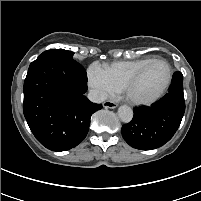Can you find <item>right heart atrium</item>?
Listing matches in <instances>:
<instances>
[{"mask_svg": "<svg viewBox=\"0 0 201 201\" xmlns=\"http://www.w3.org/2000/svg\"><path fill=\"white\" fill-rule=\"evenodd\" d=\"M89 87L98 100L113 97L118 89L113 84L106 70L99 64H92L87 70Z\"/></svg>", "mask_w": 201, "mask_h": 201, "instance_id": "d8ad5b80", "label": "right heart atrium"}]
</instances>
